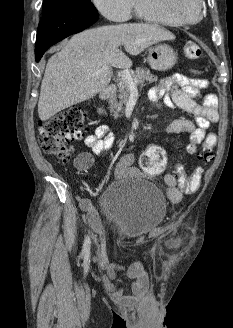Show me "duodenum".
<instances>
[{
  "instance_id": "duodenum-1",
  "label": "duodenum",
  "mask_w": 233,
  "mask_h": 328,
  "mask_svg": "<svg viewBox=\"0 0 233 328\" xmlns=\"http://www.w3.org/2000/svg\"><path fill=\"white\" fill-rule=\"evenodd\" d=\"M115 91H116V86L113 84L105 87L100 93L101 102L110 99L115 93ZM97 111L100 115L104 114V108L102 107L101 104L98 106Z\"/></svg>"
}]
</instances>
